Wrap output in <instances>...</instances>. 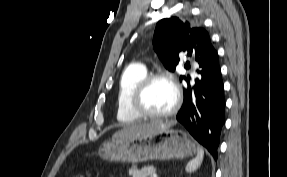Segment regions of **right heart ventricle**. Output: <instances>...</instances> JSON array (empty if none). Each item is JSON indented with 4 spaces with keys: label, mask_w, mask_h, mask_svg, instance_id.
<instances>
[{
    "label": "right heart ventricle",
    "mask_w": 287,
    "mask_h": 177,
    "mask_svg": "<svg viewBox=\"0 0 287 177\" xmlns=\"http://www.w3.org/2000/svg\"><path fill=\"white\" fill-rule=\"evenodd\" d=\"M147 75L144 65L133 64L122 72L117 87L116 116L124 124L134 123L142 117L131 107V97L139 82Z\"/></svg>",
    "instance_id": "obj_1"
}]
</instances>
